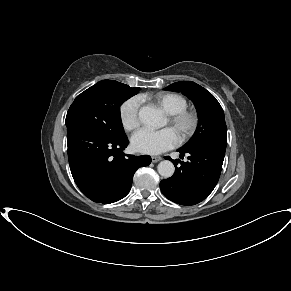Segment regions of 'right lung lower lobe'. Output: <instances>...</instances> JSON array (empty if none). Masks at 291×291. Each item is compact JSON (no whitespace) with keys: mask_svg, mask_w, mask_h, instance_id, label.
I'll list each match as a JSON object with an SVG mask.
<instances>
[{"mask_svg":"<svg viewBox=\"0 0 291 291\" xmlns=\"http://www.w3.org/2000/svg\"><path fill=\"white\" fill-rule=\"evenodd\" d=\"M128 144L126 136L110 139L84 129H67L71 173L89 199L109 204L124 198L136 170L151 163L147 155L126 158L122 151Z\"/></svg>","mask_w":291,"mask_h":291,"instance_id":"right-lung-lower-lobe-1","label":"right lung lower lobe"}]
</instances>
